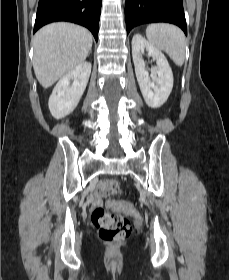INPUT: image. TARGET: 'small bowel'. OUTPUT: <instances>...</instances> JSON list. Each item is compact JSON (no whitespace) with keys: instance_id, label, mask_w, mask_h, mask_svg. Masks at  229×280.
Returning <instances> with one entry per match:
<instances>
[{"instance_id":"1","label":"small bowel","mask_w":229,"mask_h":280,"mask_svg":"<svg viewBox=\"0 0 229 280\" xmlns=\"http://www.w3.org/2000/svg\"><path fill=\"white\" fill-rule=\"evenodd\" d=\"M100 189H101V188H99L98 191H97V195H96V197H95V203H94V204H96V203L99 202L98 193H99ZM106 206H107V208H109V209H116V208L118 207V205H117L114 201H111V200H109V201L106 202Z\"/></svg>"}]
</instances>
